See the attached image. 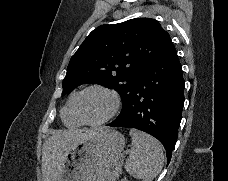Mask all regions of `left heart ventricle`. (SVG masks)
<instances>
[{"label":"left heart ventricle","instance_id":"obj_1","mask_svg":"<svg viewBox=\"0 0 228 181\" xmlns=\"http://www.w3.org/2000/svg\"><path fill=\"white\" fill-rule=\"evenodd\" d=\"M110 104L107 95L98 91H89L79 100L81 113L88 115V119L96 120L103 115Z\"/></svg>","mask_w":228,"mask_h":181}]
</instances>
